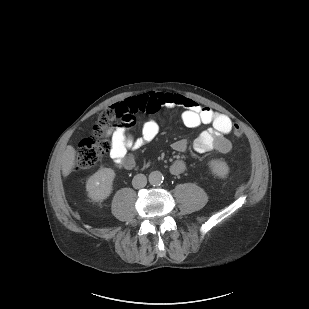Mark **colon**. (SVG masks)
Masks as SVG:
<instances>
[{"label":"colon","mask_w":309,"mask_h":309,"mask_svg":"<svg viewBox=\"0 0 309 309\" xmlns=\"http://www.w3.org/2000/svg\"><path fill=\"white\" fill-rule=\"evenodd\" d=\"M134 124V116L122 107V103L113 105L101 112L93 127L92 135L82 139L78 145L75 169L91 168L103 158L110 148V143L107 140L110 130L129 128ZM234 134L237 137L243 135V131L238 124L234 125Z\"/></svg>","instance_id":"1"}]
</instances>
